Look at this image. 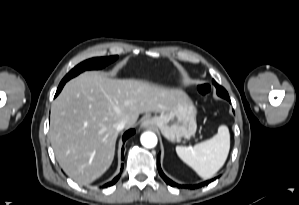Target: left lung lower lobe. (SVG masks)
Returning a JSON list of instances; mask_svg holds the SVG:
<instances>
[{
	"mask_svg": "<svg viewBox=\"0 0 299 205\" xmlns=\"http://www.w3.org/2000/svg\"><path fill=\"white\" fill-rule=\"evenodd\" d=\"M225 99H227L228 101H230L229 97H226ZM157 167H158V171H159V174L160 176L164 179V181L172 186V187H178V188H199V187H202V186H205V185H208L210 182H212L214 179H211V180H208V181H205L203 183H200V184H197V185H194V186H189V185H180V184H177L175 182H173L172 180H170L169 178H167L164 173L162 172L161 170V167H160V157L158 155V159H157Z\"/></svg>",
	"mask_w": 299,
	"mask_h": 205,
	"instance_id": "left-lung-lower-lobe-1",
	"label": "left lung lower lobe"
}]
</instances>
